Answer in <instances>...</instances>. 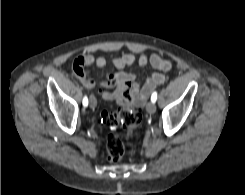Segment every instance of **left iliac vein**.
I'll return each mask as SVG.
<instances>
[{
	"instance_id": "obj_1",
	"label": "left iliac vein",
	"mask_w": 245,
	"mask_h": 195,
	"mask_svg": "<svg viewBox=\"0 0 245 195\" xmlns=\"http://www.w3.org/2000/svg\"><path fill=\"white\" fill-rule=\"evenodd\" d=\"M146 110L148 113H154L156 111V105L154 102H148L147 106H146Z\"/></svg>"
}]
</instances>
